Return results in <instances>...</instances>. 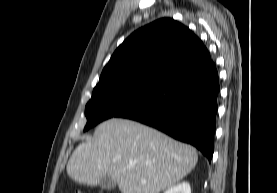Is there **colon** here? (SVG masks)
Instances as JSON below:
<instances>
[{"label":"colon","instance_id":"obj_1","mask_svg":"<svg viewBox=\"0 0 277 193\" xmlns=\"http://www.w3.org/2000/svg\"><path fill=\"white\" fill-rule=\"evenodd\" d=\"M75 193H84V192H82V191H76Z\"/></svg>","mask_w":277,"mask_h":193}]
</instances>
